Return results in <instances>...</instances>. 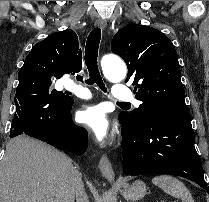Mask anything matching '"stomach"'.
Masks as SVG:
<instances>
[{
	"label": "stomach",
	"instance_id": "stomach-1",
	"mask_svg": "<svg viewBox=\"0 0 209 202\" xmlns=\"http://www.w3.org/2000/svg\"><path fill=\"white\" fill-rule=\"evenodd\" d=\"M119 191L125 199L135 201L145 196L147 188L144 182L137 180L120 186Z\"/></svg>",
	"mask_w": 209,
	"mask_h": 202
}]
</instances>
